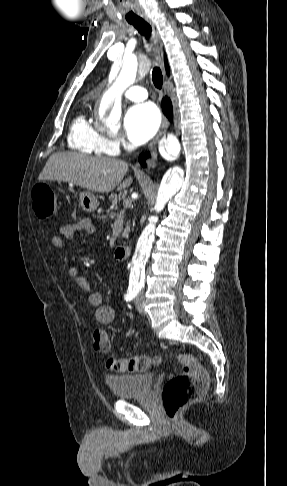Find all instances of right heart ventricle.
<instances>
[{
  "mask_svg": "<svg viewBox=\"0 0 287 486\" xmlns=\"http://www.w3.org/2000/svg\"><path fill=\"white\" fill-rule=\"evenodd\" d=\"M106 138L85 115H78L72 122L68 144L71 149L85 154H111L105 147Z\"/></svg>",
  "mask_w": 287,
  "mask_h": 486,
  "instance_id": "obj_1",
  "label": "right heart ventricle"
}]
</instances>
